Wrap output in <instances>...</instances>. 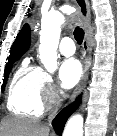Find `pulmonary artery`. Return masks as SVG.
Masks as SVG:
<instances>
[{
    "instance_id": "1",
    "label": "pulmonary artery",
    "mask_w": 117,
    "mask_h": 136,
    "mask_svg": "<svg viewBox=\"0 0 117 136\" xmlns=\"http://www.w3.org/2000/svg\"><path fill=\"white\" fill-rule=\"evenodd\" d=\"M59 50L64 56H71L75 53V43L70 37L61 39Z\"/></svg>"
}]
</instances>
